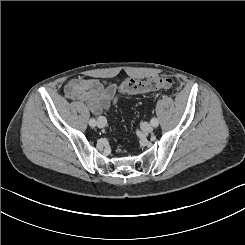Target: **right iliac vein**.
I'll list each match as a JSON object with an SVG mask.
<instances>
[{"label": "right iliac vein", "mask_w": 245, "mask_h": 245, "mask_svg": "<svg viewBox=\"0 0 245 245\" xmlns=\"http://www.w3.org/2000/svg\"><path fill=\"white\" fill-rule=\"evenodd\" d=\"M106 124H107V121H106V119L104 117H102V116L98 117V119H97V126L99 128L105 127Z\"/></svg>", "instance_id": "right-iliac-vein-1"}]
</instances>
